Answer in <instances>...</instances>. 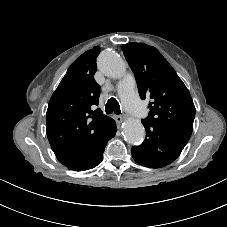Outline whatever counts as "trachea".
<instances>
[{"mask_svg":"<svg viewBox=\"0 0 227 227\" xmlns=\"http://www.w3.org/2000/svg\"><path fill=\"white\" fill-rule=\"evenodd\" d=\"M105 111L107 114L115 113L116 115L121 114V109L118 101L115 98H110L106 105Z\"/></svg>","mask_w":227,"mask_h":227,"instance_id":"trachea-1","label":"trachea"}]
</instances>
